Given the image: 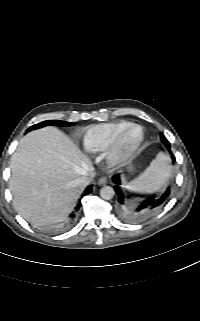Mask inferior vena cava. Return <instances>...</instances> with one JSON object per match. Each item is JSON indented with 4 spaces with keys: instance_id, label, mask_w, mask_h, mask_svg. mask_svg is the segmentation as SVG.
<instances>
[{
    "instance_id": "inferior-vena-cava-1",
    "label": "inferior vena cava",
    "mask_w": 200,
    "mask_h": 321,
    "mask_svg": "<svg viewBox=\"0 0 200 321\" xmlns=\"http://www.w3.org/2000/svg\"><path fill=\"white\" fill-rule=\"evenodd\" d=\"M93 175H85L82 177H79L76 180V186L84 189L86 186H88L90 184V182L92 181Z\"/></svg>"
}]
</instances>
